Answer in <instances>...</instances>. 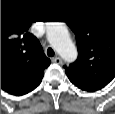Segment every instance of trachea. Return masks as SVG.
<instances>
[{"label": "trachea", "instance_id": "trachea-1", "mask_svg": "<svg viewBox=\"0 0 115 114\" xmlns=\"http://www.w3.org/2000/svg\"><path fill=\"white\" fill-rule=\"evenodd\" d=\"M47 55H48L49 57H53V56L55 55V53H54V51H53L52 48H48V50H47Z\"/></svg>", "mask_w": 115, "mask_h": 114}]
</instances>
